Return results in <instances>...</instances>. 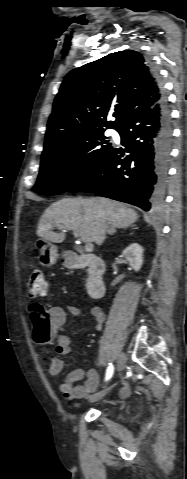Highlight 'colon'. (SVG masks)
Here are the masks:
<instances>
[{
  "mask_svg": "<svg viewBox=\"0 0 187 479\" xmlns=\"http://www.w3.org/2000/svg\"><path fill=\"white\" fill-rule=\"evenodd\" d=\"M48 293V284L41 270H34L27 283V294L30 298L45 297ZM34 309L31 313L37 326H48L50 318L48 312L40 304H33ZM33 314V315H32Z\"/></svg>",
  "mask_w": 187,
  "mask_h": 479,
  "instance_id": "5ec220e1",
  "label": "colon"
}]
</instances>
